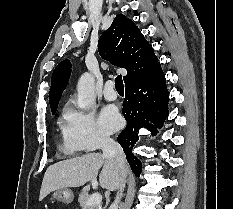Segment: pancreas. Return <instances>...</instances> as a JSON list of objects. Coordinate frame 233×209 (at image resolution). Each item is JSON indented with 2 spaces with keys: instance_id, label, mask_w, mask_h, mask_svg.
Listing matches in <instances>:
<instances>
[{
  "instance_id": "obj_1",
  "label": "pancreas",
  "mask_w": 233,
  "mask_h": 209,
  "mask_svg": "<svg viewBox=\"0 0 233 209\" xmlns=\"http://www.w3.org/2000/svg\"><path fill=\"white\" fill-rule=\"evenodd\" d=\"M89 198H90V195L88 194L87 191H83L79 194L78 202H79V205L82 209H102L101 204L87 206L86 203H87Z\"/></svg>"
}]
</instances>
